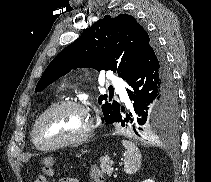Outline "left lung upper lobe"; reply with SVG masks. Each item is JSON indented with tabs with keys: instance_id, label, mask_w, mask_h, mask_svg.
Listing matches in <instances>:
<instances>
[{
	"instance_id": "5c2ea615",
	"label": "left lung upper lobe",
	"mask_w": 211,
	"mask_h": 182,
	"mask_svg": "<svg viewBox=\"0 0 211 182\" xmlns=\"http://www.w3.org/2000/svg\"><path fill=\"white\" fill-rule=\"evenodd\" d=\"M148 33L134 17L120 14L115 18L105 16L95 22L72 44L62 50L48 65L39 80L35 92L42 91L71 69L91 67L97 70H112L127 82L136 71L146 49L151 45ZM99 97L105 122H117L120 105ZM174 130L176 125L154 128L156 134Z\"/></svg>"
}]
</instances>
